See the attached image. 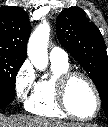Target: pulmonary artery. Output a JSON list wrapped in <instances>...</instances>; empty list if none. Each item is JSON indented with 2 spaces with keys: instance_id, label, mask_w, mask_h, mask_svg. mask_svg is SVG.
<instances>
[{
  "instance_id": "obj_1",
  "label": "pulmonary artery",
  "mask_w": 108,
  "mask_h": 127,
  "mask_svg": "<svg viewBox=\"0 0 108 127\" xmlns=\"http://www.w3.org/2000/svg\"><path fill=\"white\" fill-rule=\"evenodd\" d=\"M49 58L51 62L68 63L67 52L59 47H54L51 49Z\"/></svg>"
}]
</instances>
